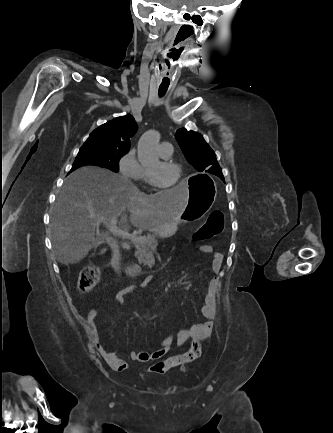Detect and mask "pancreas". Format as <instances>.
<instances>
[{
  "mask_svg": "<svg viewBox=\"0 0 333 433\" xmlns=\"http://www.w3.org/2000/svg\"><path fill=\"white\" fill-rule=\"evenodd\" d=\"M145 238V243L134 242V246L136 248L135 256L137 257L138 262L143 265L147 264L145 257L148 254V251L156 247L158 244L155 234H148L145 236Z\"/></svg>",
  "mask_w": 333,
  "mask_h": 433,
  "instance_id": "1",
  "label": "pancreas"
}]
</instances>
